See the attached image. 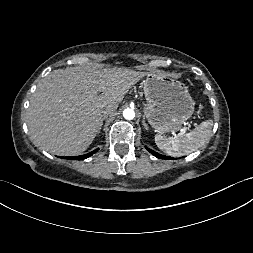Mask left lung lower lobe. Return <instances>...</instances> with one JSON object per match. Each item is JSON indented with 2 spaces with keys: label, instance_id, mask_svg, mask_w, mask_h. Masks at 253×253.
Listing matches in <instances>:
<instances>
[{
  "label": "left lung lower lobe",
  "instance_id": "0a47b994",
  "mask_svg": "<svg viewBox=\"0 0 253 253\" xmlns=\"http://www.w3.org/2000/svg\"><path fill=\"white\" fill-rule=\"evenodd\" d=\"M146 149H147L150 153H152L154 156H156L157 158H159V159H172L171 157L160 155V154H158L157 152H155V151H153V150H151V149H149V148H147V147H146Z\"/></svg>",
  "mask_w": 253,
  "mask_h": 253
}]
</instances>
